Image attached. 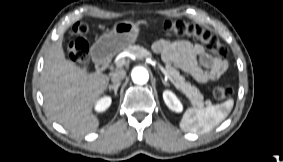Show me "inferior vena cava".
<instances>
[{
  "mask_svg": "<svg viewBox=\"0 0 283 162\" xmlns=\"http://www.w3.org/2000/svg\"><path fill=\"white\" fill-rule=\"evenodd\" d=\"M126 72L124 70H119L111 75V81L114 85L121 83V81L125 78Z\"/></svg>",
  "mask_w": 283,
  "mask_h": 162,
  "instance_id": "inferior-vena-cava-1",
  "label": "inferior vena cava"
}]
</instances>
